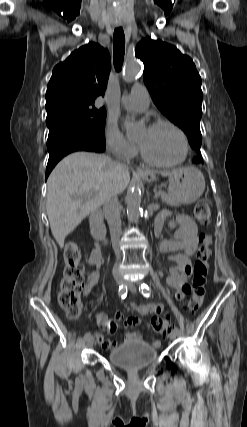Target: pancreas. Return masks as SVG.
Segmentation results:
<instances>
[{"label":"pancreas","instance_id":"obj_1","mask_svg":"<svg viewBox=\"0 0 247 427\" xmlns=\"http://www.w3.org/2000/svg\"><path fill=\"white\" fill-rule=\"evenodd\" d=\"M157 197H159L162 200V202L166 203L167 205H170V206H178L179 205L178 201L173 199L169 194H167L164 191H158Z\"/></svg>","mask_w":247,"mask_h":427}]
</instances>
